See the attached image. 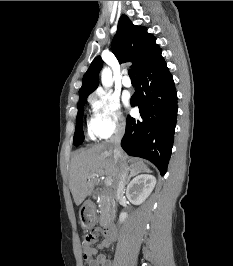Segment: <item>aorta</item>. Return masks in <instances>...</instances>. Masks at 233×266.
<instances>
[{
  "mask_svg": "<svg viewBox=\"0 0 233 266\" xmlns=\"http://www.w3.org/2000/svg\"><path fill=\"white\" fill-rule=\"evenodd\" d=\"M101 82L105 88H109L113 84L112 72L110 68H104L101 72Z\"/></svg>",
  "mask_w": 233,
  "mask_h": 266,
  "instance_id": "1",
  "label": "aorta"
}]
</instances>
